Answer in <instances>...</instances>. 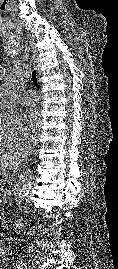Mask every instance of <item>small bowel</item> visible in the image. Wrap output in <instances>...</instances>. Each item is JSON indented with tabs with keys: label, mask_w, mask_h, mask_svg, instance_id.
<instances>
[{
	"label": "small bowel",
	"mask_w": 118,
	"mask_h": 269,
	"mask_svg": "<svg viewBox=\"0 0 118 269\" xmlns=\"http://www.w3.org/2000/svg\"><path fill=\"white\" fill-rule=\"evenodd\" d=\"M0 269H5V268H0ZM6 269H9V268H6Z\"/></svg>",
	"instance_id": "1"
}]
</instances>
